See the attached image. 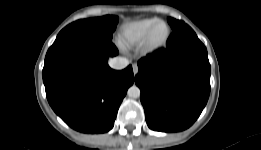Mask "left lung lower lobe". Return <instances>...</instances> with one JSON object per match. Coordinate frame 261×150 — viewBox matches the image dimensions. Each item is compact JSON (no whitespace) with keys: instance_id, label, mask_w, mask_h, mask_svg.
I'll list each match as a JSON object with an SVG mask.
<instances>
[{"instance_id":"left-lung-lower-lobe-1","label":"left lung lower lobe","mask_w":261,"mask_h":150,"mask_svg":"<svg viewBox=\"0 0 261 150\" xmlns=\"http://www.w3.org/2000/svg\"><path fill=\"white\" fill-rule=\"evenodd\" d=\"M135 83L149 128L177 132L190 127L210 94L207 49L186 24L173 30L166 48L138 61Z\"/></svg>"}]
</instances>
